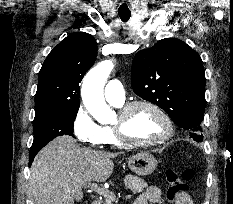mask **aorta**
<instances>
[{"label": "aorta", "instance_id": "762f6f07", "mask_svg": "<svg viewBox=\"0 0 233 204\" xmlns=\"http://www.w3.org/2000/svg\"><path fill=\"white\" fill-rule=\"evenodd\" d=\"M113 68L112 61H102L86 74L81 87V96L87 111L102 124L112 121L115 117L103 94L105 83Z\"/></svg>", "mask_w": 233, "mask_h": 204}]
</instances>
